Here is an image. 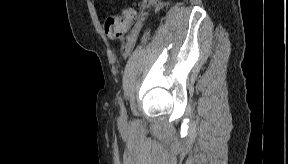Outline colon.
<instances>
[{
  "instance_id": "5ec220e1",
  "label": "colon",
  "mask_w": 288,
  "mask_h": 164,
  "mask_svg": "<svg viewBox=\"0 0 288 164\" xmlns=\"http://www.w3.org/2000/svg\"><path fill=\"white\" fill-rule=\"evenodd\" d=\"M136 17L131 7L122 9L119 15H110L103 21V29L108 39L115 40L125 36Z\"/></svg>"
}]
</instances>
